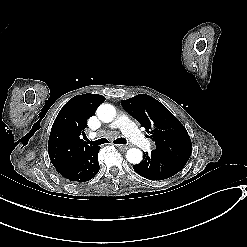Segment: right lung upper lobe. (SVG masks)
Masks as SVG:
<instances>
[{"label": "right lung upper lobe", "mask_w": 247, "mask_h": 247, "mask_svg": "<svg viewBox=\"0 0 247 247\" xmlns=\"http://www.w3.org/2000/svg\"><path fill=\"white\" fill-rule=\"evenodd\" d=\"M105 101L99 94H82L71 98L58 113L49 136L48 153L57 172L75 162L81 154L93 146L86 145L81 135H85L87 119Z\"/></svg>", "instance_id": "1"}]
</instances>
